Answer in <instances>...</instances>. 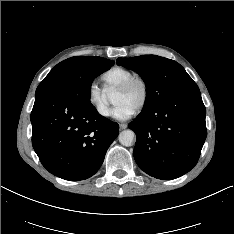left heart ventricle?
<instances>
[{
    "label": "left heart ventricle",
    "mask_w": 234,
    "mask_h": 234,
    "mask_svg": "<svg viewBox=\"0 0 234 234\" xmlns=\"http://www.w3.org/2000/svg\"><path fill=\"white\" fill-rule=\"evenodd\" d=\"M142 96V90L139 85H134L129 91L125 93L116 92L113 97L115 105L124 103L135 110L139 104Z\"/></svg>",
    "instance_id": "obj_1"
}]
</instances>
